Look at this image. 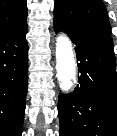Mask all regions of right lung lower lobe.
I'll return each instance as SVG.
<instances>
[{
  "mask_svg": "<svg viewBox=\"0 0 117 136\" xmlns=\"http://www.w3.org/2000/svg\"><path fill=\"white\" fill-rule=\"evenodd\" d=\"M28 26L0 39V136H21L28 79Z\"/></svg>",
  "mask_w": 117,
  "mask_h": 136,
  "instance_id": "obj_1",
  "label": "right lung lower lobe"
}]
</instances>
